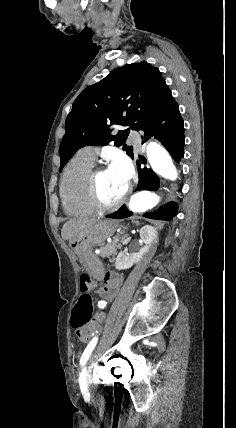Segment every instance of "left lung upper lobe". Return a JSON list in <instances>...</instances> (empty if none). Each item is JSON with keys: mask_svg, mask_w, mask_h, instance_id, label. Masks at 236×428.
<instances>
[{"mask_svg": "<svg viewBox=\"0 0 236 428\" xmlns=\"http://www.w3.org/2000/svg\"><path fill=\"white\" fill-rule=\"evenodd\" d=\"M173 100L160 71L149 63L142 61L113 70L75 99L60 143V171L78 149L87 145L103 146L115 141V146H123L133 158L132 148L124 144L130 128L141 130ZM113 124L129 128L112 134L109 126Z\"/></svg>", "mask_w": 236, "mask_h": 428, "instance_id": "5c2ea615", "label": "left lung upper lobe"}]
</instances>
